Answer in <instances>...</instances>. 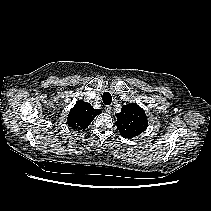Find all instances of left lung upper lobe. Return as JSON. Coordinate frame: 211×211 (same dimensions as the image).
Wrapping results in <instances>:
<instances>
[{
	"label": "left lung upper lobe",
	"instance_id": "5c2ea615",
	"mask_svg": "<svg viewBox=\"0 0 211 211\" xmlns=\"http://www.w3.org/2000/svg\"><path fill=\"white\" fill-rule=\"evenodd\" d=\"M117 117V128L123 138H133L144 132L148 126L147 116L136 103L124 105Z\"/></svg>",
	"mask_w": 211,
	"mask_h": 211
}]
</instances>
